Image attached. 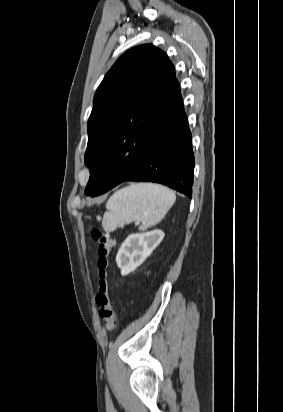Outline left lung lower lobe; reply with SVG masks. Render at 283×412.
I'll list each match as a JSON object with an SVG mask.
<instances>
[{
  "label": "left lung lower lobe",
  "mask_w": 283,
  "mask_h": 412,
  "mask_svg": "<svg viewBox=\"0 0 283 412\" xmlns=\"http://www.w3.org/2000/svg\"><path fill=\"white\" fill-rule=\"evenodd\" d=\"M191 139L180 94L156 126L138 160L133 161L132 155L123 158L121 153H108L105 157L103 152V161L93 175L100 186L98 195L124 181H149L191 197L195 163Z\"/></svg>",
  "instance_id": "0a47b994"
}]
</instances>
